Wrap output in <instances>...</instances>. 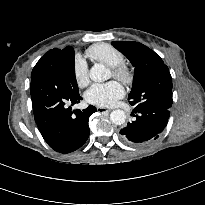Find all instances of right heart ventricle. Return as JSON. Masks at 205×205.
Returning <instances> with one entry per match:
<instances>
[{"label": "right heart ventricle", "mask_w": 205, "mask_h": 205, "mask_svg": "<svg viewBox=\"0 0 205 205\" xmlns=\"http://www.w3.org/2000/svg\"><path fill=\"white\" fill-rule=\"evenodd\" d=\"M86 54L93 61L114 67L125 62L124 54L108 43H96L86 50Z\"/></svg>", "instance_id": "1"}]
</instances>
